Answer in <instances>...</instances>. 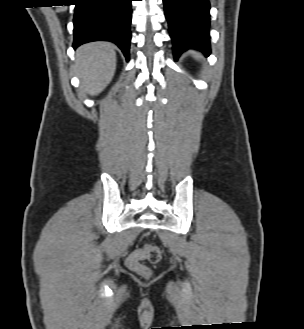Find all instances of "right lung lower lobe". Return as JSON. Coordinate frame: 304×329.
<instances>
[{
	"label": "right lung lower lobe",
	"mask_w": 304,
	"mask_h": 329,
	"mask_svg": "<svg viewBox=\"0 0 304 329\" xmlns=\"http://www.w3.org/2000/svg\"><path fill=\"white\" fill-rule=\"evenodd\" d=\"M75 1L73 48L91 41H111L128 60L132 0Z\"/></svg>",
	"instance_id": "obj_1"
}]
</instances>
